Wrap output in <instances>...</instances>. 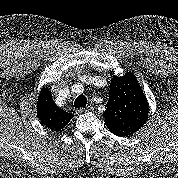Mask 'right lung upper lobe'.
Wrapping results in <instances>:
<instances>
[{"instance_id": "obj_1", "label": "right lung upper lobe", "mask_w": 178, "mask_h": 178, "mask_svg": "<svg viewBox=\"0 0 178 178\" xmlns=\"http://www.w3.org/2000/svg\"><path fill=\"white\" fill-rule=\"evenodd\" d=\"M37 116L43 125L55 131L63 129L73 118L72 114H68L54 103L51 91L47 87H43L38 96Z\"/></svg>"}]
</instances>
